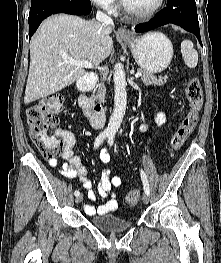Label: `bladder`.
Returning a JSON list of instances; mask_svg holds the SVG:
<instances>
[{
	"label": "bladder",
	"instance_id": "1",
	"mask_svg": "<svg viewBox=\"0 0 221 263\" xmlns=\"http://www.w3.org/2000/svg\"><path fill=\"white\" fill-rule=\"evenodd\" d=\"M89 221L93 227L108 234L126 231L133 225L132 221L123 220L117 214L93 215Z\"/></svg>",
	"mask_w": 221,
	"mask_h": 263
}]
</instances>
